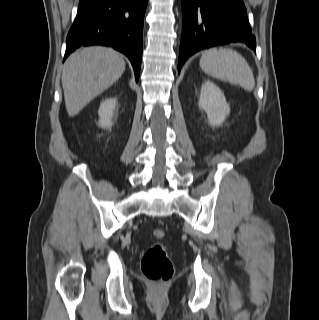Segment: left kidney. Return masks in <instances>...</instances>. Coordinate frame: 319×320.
<instances>
[{
	"mask_svg": "<svg viewBox=\"0 0 319 320\" xmlns=\"http://www.w3.org/2000/svg\"><path fill=\"white\" fill-rule=\"evenodd\" d=\"M199 108L207 113L208 123L212 127L221 126L230 113L223 92L211 81L202 84Z\"/></svg>",
	"mask_w": 319,
	"mask_h": 320,
	"instance_id": "left-kidney-1",
	"label": "left kidney"
}]
</instances>
